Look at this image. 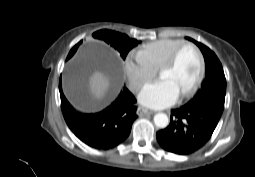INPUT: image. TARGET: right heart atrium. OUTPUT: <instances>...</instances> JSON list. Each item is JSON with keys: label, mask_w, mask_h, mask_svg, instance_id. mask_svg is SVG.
<instances>
[{"label": "right heart atrium", "mask_w": 255, "mask_h": 177, "mask_svg": "<svg viewBox=\"0 0 255 177\" xmlns=\"http://www.w3.org/2000/svg\"><path fill=\"white\" fill-rule=\"evenodd\" d=\"M125 74L132 90H139L147 81L153 78L157 70L140 54L129 53L125 60Z\"/></svg>", "instance_id": "right-heart-atrium-1"}]
</instances>
